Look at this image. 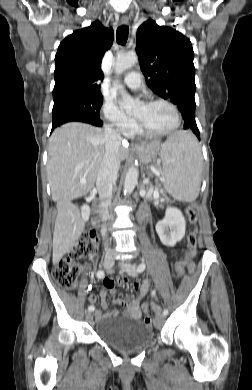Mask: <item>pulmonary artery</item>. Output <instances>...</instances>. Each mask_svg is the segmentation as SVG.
I'll list each match as a JSON object with an SVG mask.
<instances>
[{
	"mask_svg": "<svg viewBox=\"0 0 252 390\" xmlns=\"http://www.w3.org/2000/svg\"><path fill=\"white\" fill-rule=\"evenodd\" d=\"M123 82L130 89L136 90L141 86V75L136 71H132L124 77Z\"/></svg>",
	"mask_w": 252,
	"mask_h": 390,
	"instance_id": "obj_1",
	"label": "pulmonary artery"
}]
</instances>
